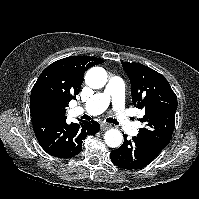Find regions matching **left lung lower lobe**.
Wrapping results in <instances>:
<instances>
[{
    "instance_id": "1",
    "label": "left lung lower lobe",
    "mask_w": 199,
    "mask_h": 199,
    "mask_svg": "<svg viewBox=\"0 0 199 199\" xmlns=\"http://www.w3.org/2000/svg\"><path fill=\"white\" fill-rule=\"evenodd\" d=\"M164 149L163 146L141 135L128 141L110 153L111 161L118 167L133 170L147 166Z\"/></svg>"
}]
</instances>
